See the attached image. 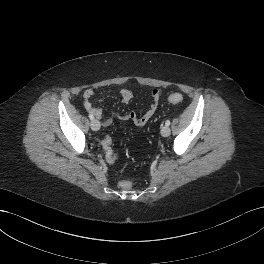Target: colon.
<instances>
[{
  "mask_svg": "<svg viewBox=\"0 0 264 264\" xmlns=\"http://www.w3.org/2000/svg\"><path fill=\"white\" fill-rule=\"evenodd\" d=\"M168 100L171 103H181L183 101V96L180 93H171L168 96ZM102 147L103 150L105 152V155L109 156V157H113L115 156L113 150H112V139L109 136H106L103 141H102ZM121 188L125 189V190H129L132 188V182L131 181H122L120 183Z\"/></svg>",
  "mask_w": 264,
  "mask_h": 264,
  "instance_id": "5ec220e1",
  "label": "colon"
}]
</instances>
